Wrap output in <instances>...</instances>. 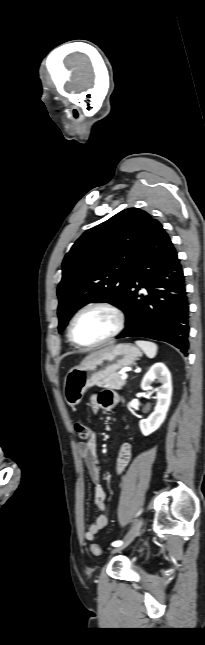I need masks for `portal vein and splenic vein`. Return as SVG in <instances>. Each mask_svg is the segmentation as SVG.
<instances>
[{
    "label": "portal vein and splenic vein",
    "instance_id": "18ae733b",
    "mask_svg": "<svg viewBox=\"0 0 205 645\" xmlns=\"http://www.w3.org/2000/svg\"><path fill=\"white\" fill-rule=\"evenodd\" d=\"M127 378H128V375H127V374H123V375L121 376V379H122V380H126Z\"/></svg>",
    "mask_w": 205,
    "mask_h": 645
}]
</instances>
